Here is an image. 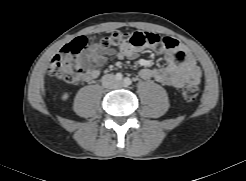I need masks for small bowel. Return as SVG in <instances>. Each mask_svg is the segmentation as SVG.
<instances>
[{"label":"small bowel","instance_id":"small-bowel-1","mask_svg":"<svg viewBox=\"0 0 246 181\" xmlns=\"http://www.w3.org/2000/svg\"><path fill=\"white\" fill-rule=\"evenodd\" d=\"M162 51L167 63L163 67H144L139 71L143 79H152L165 86L180 88L187 82L197 83L201 78V70L191 51L173 37H165ZM138 48L129 43H122L118 49L103 48L98 43H91L82 51V58L89 66L88 77L96 79L102 73L107 57L115 55L119 59L134 58Z\"/></svg>","mask_w":246,"mask_h":181}]
</instances>
